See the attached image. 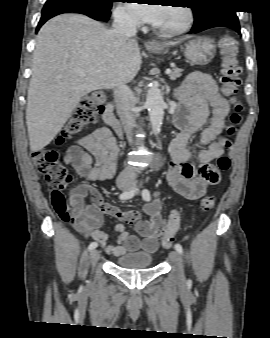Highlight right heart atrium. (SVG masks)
I'll return each instance as SVG.
<instances>
[{"instance_id": "d8ad5b80", "label": "right heart atrium", "mask_w": 270, "mask_h": 338, "mask_svg": "<svg viewBox=\"0 0 270 338\" xmlns=\"http://www.w3.org/2000/svg\"><path fill=\"white\" fill-rule=\"evenodd\" d=\"M115 16L118 22L136 26L138 24V20L136 16L129 10L127 6H119L116 9Z\"/></svg>"}]
</instances>
